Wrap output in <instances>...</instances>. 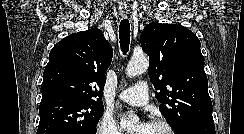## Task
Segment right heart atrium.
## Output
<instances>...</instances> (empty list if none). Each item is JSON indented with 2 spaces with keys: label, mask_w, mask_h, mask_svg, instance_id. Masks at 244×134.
<instances>
[{
  "label": "right heart atrium",
  "mask_w": 244,
  "mask_h": 134,
  "mask_svg": "<svg viewBox=\"0 0 244 134\" xmlns=\"http://www.w3.org/2000/svg\"><path fill=\"white\" fill-rule=\"evenodd\" d=\"M96 134H123L113 117L103 114L98 121Z\"/></svg>",
  "instance_id": "right-heart-atrium-1"
}]
</instances>
